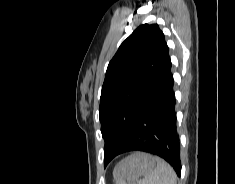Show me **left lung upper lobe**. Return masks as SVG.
Masks as SVG:
<instances>
[{
  "label": "left lung upper lobe",
  "instance_id": "5c2ea615",
  "mask_svg": "<svg viewBox=\"0 0 235 184\" xmlns=\"http://www.w3.org/2000/svg\"><path fill=\"white\" fill-rule=\"evenodd\" d=\"M166 46L157 24H143L123 41L110 61L99 107L105 167L131 135L155 82Z\"/></svg>",
  "mask_w": 235,
  "mask_h": 184
}]
</instances>
